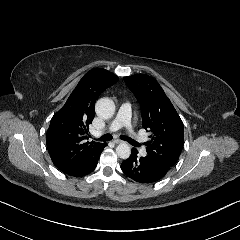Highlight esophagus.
I'll use <instances>...</instances> for the list:
<instances>
[{
    "instance_id": "34e87169",
    "label": "esophagus",
    "mask_w": 240,
    "mask_h": 240,
    "mask_svg": "<svg viewBox=\"0 0 240 240\" xmlns=\"http://www.w3.org/2000/svg\"><path fill=\"white\" fill-rule=\"evenodd\" d=\"M122 142H123V141H122V140H119V139H115V140H114V143H115V144H119V143H122Z\"/></svg>"
}]
</instances>
